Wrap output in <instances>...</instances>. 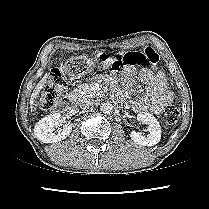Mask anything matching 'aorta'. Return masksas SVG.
<instances>
[{
    "label": "aorta",
    "mask_w": 209,
    "mask_h": 209,
    "mask_svg": "<svg viewBox=\"0 0 209 209\" xmlns=\"http://www.w3.org/2000/svg\"><path fill=\"white\" fill-rule=\"evenodd\" d=\"M100 109H101V111H102L103 113H105V114H110V113H112V111H113V106H112L111 103H109V102L107 101V102L101 103Z\"/></svg>",
    "instance_id": "762f6f07"
}]
</instances>
